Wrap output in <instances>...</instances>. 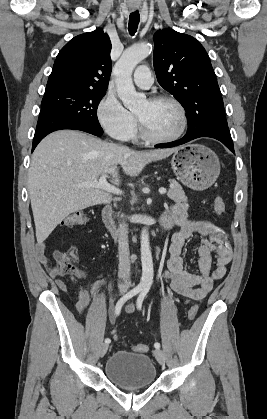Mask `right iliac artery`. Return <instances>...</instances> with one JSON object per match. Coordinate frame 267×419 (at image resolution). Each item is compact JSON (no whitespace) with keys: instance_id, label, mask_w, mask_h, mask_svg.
I'll use <instances>...</instances> for the list:
<instances>
[{"instance_id":"right-iliac-artery-1","label":"right iliac artery","mask_w":267,"mask_h":419,"mask_svg":"<svg viewBox=\"0 0 267 419\" xmlns=\"http://www.w3.org/2000/svg\"><path fill=\"white\" fill-rule=\"evenodd\" d=\"M140 291H142V287L141 286H136L135 288H133L132 290H130L128 293H126L123 297H121L116 306H115V315L118 316L121 312L122 306L124 305V303L132 298L133 296L137 295ZM111 342V340L109 338L105 339V343L109 344Z\"/></svg>"}]
</instances>
